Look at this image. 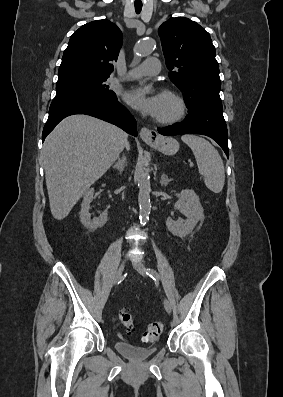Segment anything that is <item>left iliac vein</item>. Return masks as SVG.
Masks as SVG:
<instances>
[{"mask_svg":"<svg viewBox=\"0 0 283 397\" xmlns=\"http://www.w3.org/2000/svg\"><path fill=\"white\" fill-rule=\"evenodd\" d=\"M132 265L141 275H143V276L147 275L146 268L141 262L133 261ZM164 308L168 313H171V304L167 299L164 300Z\"/></svg>","mask_w":283,"mask_h":397,"instance_id":"obj_1","label":"left iliac vein"}]
</instances>
